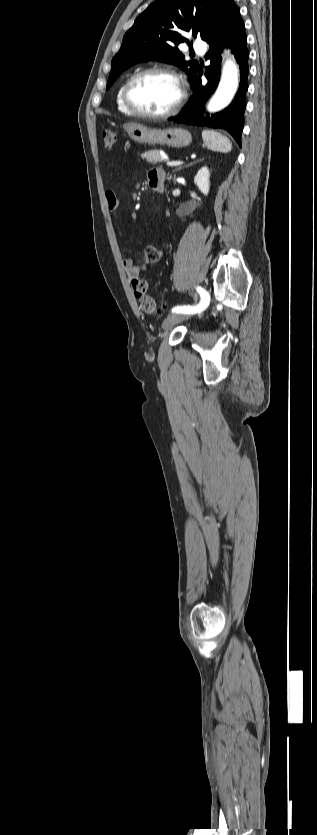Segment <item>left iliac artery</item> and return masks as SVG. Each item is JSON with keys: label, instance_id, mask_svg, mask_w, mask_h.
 Masks as SVG:
<instances>
[{"label": "left iliac artery", "instance_id": "44dca946", "mask_svg": "<svg viewBox=\"0 0 317 835\" xmlns=\"http://www.w3.org/2000/svg\"><path fill=\"white\" fill-rule=\"evenodd\" d=\"M197 292L200 294V302L197 305H183V306H176L172 309L173 313H197L203 311L209 304V294L208 292L203 289L201 286H197Z\"/></svg>", "mask_w": 317, "mask_h": 835}]
</instances>
